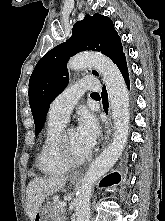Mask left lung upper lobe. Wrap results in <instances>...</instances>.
Wrapping results in <instances>:
<instances>
[{
	"label": "left lung upper lobe",
	"mask_w": 165,
	"mask_h": 221,
	"mask_svg": "<svg viewBox=\"0 0 165 221\" xmlns=\"http://www.w3.org/2000/svg\"><path fill=\"white\" fill-rule=\"evenodd\" d=\"M85 50L99 51L115 64L125 56L121 39L109 17L86 15L74 24L70 39L51 49L35 66L29 80V104L36 135L44 125L51 102L68 84L67 61ZM93 74L98 75L96 71Z\"/></svg>",
	"instance_id": "obj_1"
}]
</instances>
